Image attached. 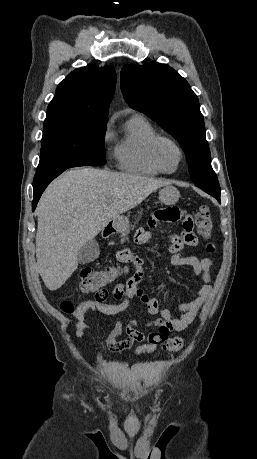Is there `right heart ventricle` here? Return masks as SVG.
<instances>
[{
	"instance_id": "obj_1",
	"label": "right heart ventricle",
	"mask_w": 257,
	"mask_h": 459,
	"mask_svg": "<svg viewBox=\"0 0 257 459\" xmlns=\"http://www.w3.org/2000/svg\"><path fill=\"white\" fill-rule=\"evenodd\" d=\"M158 135L155 127L141 114L131 116L125 134L117 142L114 157L119 169L143 176H156L161 171L152 163L149 146Z\"/></svg>"
}]
</instances>
